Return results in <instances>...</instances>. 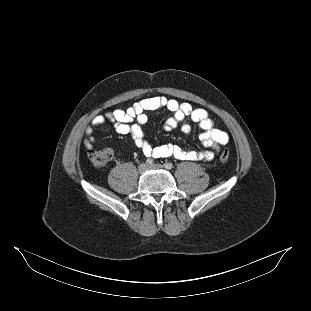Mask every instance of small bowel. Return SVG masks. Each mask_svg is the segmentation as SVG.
<instances>
[{"mask_svg": "<svg viewBox=\"0 0 311 311\" xmlns=\"http://www.w3.org/2000/svg\"><path fill=\"white\" fill-rule=\"evenodd\" d=\"M158 109H166L171 113V116L164 124L167 131L181 126L182 130L188 133L191 130V125L186 121L191 120L197 124L202 130L199 136L200 142L210 150H184L174 144L153 147L146 139L142 126L147 122L146 112ZM107 121L114 123L115 130L118 133L129 135L134 144L149 158L172 156L181 160L209 162L214 158L215 153L219 151V147L229 141L226 132L215 128L214 122L210 119L206 110L193 108L188 103H179L174 99L158 96L141 99L125 110L116 109L94 117L91 124L85 129L86 138L84 144L88 149L93 147L97 128Z\"/></svg>", "mask_w": 311, "mask_h": 311, "instance_id": "c3829d8e", "label": "small bowel"}]
</instances>
